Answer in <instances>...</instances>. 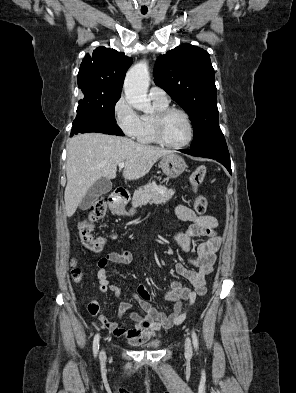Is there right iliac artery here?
<instances>
[{
	"mask_svg": "<svg viewBox=\"0 0 296 393\" xmlns=\"http://www.w3.org/2000/svg\"><path fill=\"white\" fill-rule=\"evenodd\" d=\"M98 350H99V334H96L95 337H94V340H93V353H94V356L97 355Z\"/></svg>",
	"mask_w": 296,
	"mask_h": 393,
	"instance_id": "right-iliac-artery-1",
	"label": "right iliac artery"
}]
</instances>
